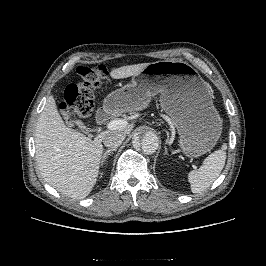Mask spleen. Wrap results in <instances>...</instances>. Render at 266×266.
<instances>
[{
    "instance_id": "obj_1",
    "label": "spleen",
    "mask_w": 266,
    "mask_h": 266,
    "mask_svg": "<svg viewBox=\"0 0 266 266\" xmlns=\"http://www.w3.org/2000/svg\"><path fill=\"white\" fill-rule=\"evenodd\" d=\"M226 144L221 149L210 154L198 170L188 173V181L193 193L206 190L219 177L226 161Z\"/></svg>"
}]
</instances>
